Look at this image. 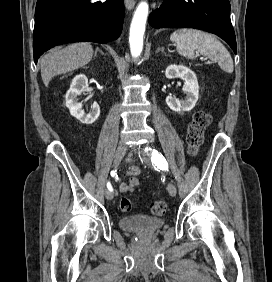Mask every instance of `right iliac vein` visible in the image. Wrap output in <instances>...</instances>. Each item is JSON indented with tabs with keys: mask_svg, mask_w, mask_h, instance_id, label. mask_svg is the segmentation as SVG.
<instances>
[{
	"mask_svg": "<svg viewBox=\"0 0 272 282\" xmlns=\"http://www.w3.org/2000/svg\"><path fill=\"white\" fill-rule=\"evenodd\" d=\"M127 152V145L126 143L123 141L121 142L117 149H116V152H115V156H114V165L117 166L119 165V163L121 162V160L123 159V157L125 156ZM105 197L108 199V200H112L113 197H114V193H113V190H106L105 192Z\"/></svg>",
	"mask_w": 272,
	"mask_h": 282,
	"instance_id": "obj_1",
	"label": "right iliac vein"
}]
</instances>
